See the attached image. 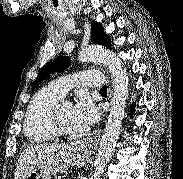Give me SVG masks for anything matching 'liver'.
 Segmentation results:
<instances>
[{"instance_id": "obj_1", "label": "liver", "mask_w": 183, "mask_h": 179, "mask_svg": "<svg viewBox=\"0 0 183 179\" xmlns=\"http://www.w3.org/2000/svg\"><path fill=\"white\" fill-rule=\"evenodd\" d=\"M63 146V144L53 142L26 148L18 159L14 179H25L32 170L48 160Z\"/></svg>"}]
</instances>
